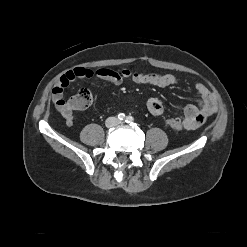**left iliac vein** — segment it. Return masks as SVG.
<instances>
[{
  "mask_svg": "<svg viewBox=\"0 0 247 247\" xmlns=\"http://www.w3.org/2000/svg\"><path fill=\"white\" fill-rule=\"evenodd\" d=\"M122 122L118 121L117 124H121Z\"/></svg>",
  "mask_w": 247,
  "mask_h": 247,
  "instance_id": "obj_1",
  "label": "left iliac vein"
}]
</instances>
